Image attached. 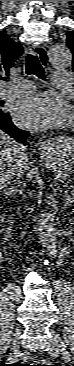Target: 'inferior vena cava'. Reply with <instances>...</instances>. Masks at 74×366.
<instances>
[{
	"instance_id": "1",
	"label": "inferior vena cava",
	"mask_w": 74,
	"mask_h": 366,
	"mask_svg": "<svg viewBox=\"0 0 74 366\" xmlns=\"http://www.w3.org/2000/svg\"><path fill=\"white\" fill-rule=\"evenodd\" d=\"M25 159V154L23 153L20 156V170L18 171V173L16 174V178H17V184H18V188H19V193L22 194L24 191V188L26 187V184L21 181L22 178V166H23V161Z\"/></svg>"
}]
</instances>
